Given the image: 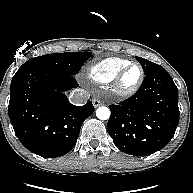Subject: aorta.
<instances>
[{
	"mask_svg": "<svg viewBox=\"0 0 193 193\" xmlns=\"http://www.w3.org/2000/svg\"><path fill=\"white\" fill-rule=\"evenodd\" d=\"M96 116L100 120H107V119H109V117H110V110H109V108L104 107V106L99 107L96 110Z\"/></svg>",
	"mask_w": 193,
	"mask_h": 193,
	"instance_id": "1",
	"label": "aorta"
}]
</instances>
